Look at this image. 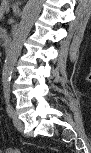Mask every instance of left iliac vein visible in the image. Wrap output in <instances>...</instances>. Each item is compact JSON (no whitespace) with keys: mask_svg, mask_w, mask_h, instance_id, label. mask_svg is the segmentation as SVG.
I'll return each mask as SVG.
<instances>
[{"mask_svg":"<svg viewBox=\"0 0 91 153\" xmlns=\"http://www.w3.org/2000/svg\"><path fill=\"white\" fill-rule=\"evenodd\" d=\"M13 118V123H14V126L16 127V129L20 132L23 131V123L22 121L17 117L16 113L14 112V116L12 117Z\"/></svg>","mask_w":91,"mask_h":153,"instance_id":"left-iliac-vein-1","label":"left iliac vein"}]
</instances>
